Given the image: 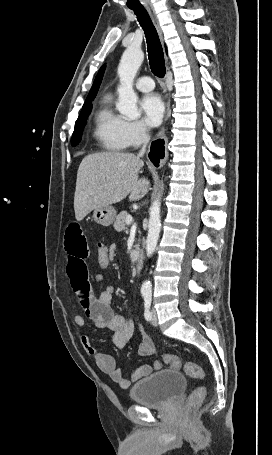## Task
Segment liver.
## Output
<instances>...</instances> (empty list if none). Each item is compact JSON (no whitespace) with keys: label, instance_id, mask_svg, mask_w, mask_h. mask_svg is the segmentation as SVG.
<instances>
[{"label":"liver","instance_id":"obj_1","mask_svg":"<svg viewBox=\"0 0 272 455\" xmlns=\"http://www.w3.org/2000/svg\"><path fill=\"white\" fill-rule=\"evenodd\" d=\"M144 162L132 153L100 152L87 155L79 165L74 196L75 217L83 220L92 210L143 198L150 187L138 179Z\"/></svg>","mask_w":272,"mask_h":455}]
</instances>
